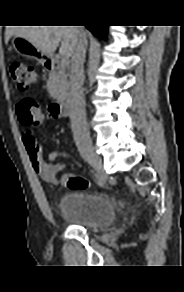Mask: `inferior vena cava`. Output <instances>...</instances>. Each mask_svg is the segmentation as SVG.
<instances>
[{
    "mask_svg": "<svg viewBox=\"0 0 184 292\" xmlns=\"http://www.w3.org/2000/svg\"><path fill=\"white\" fill-rule=\"evenodd\" d=\"M79 37L71 56L70 97L71 125L76 146L80 152L92 151V142L87 127L85 115V98L83 94L84 62L87 49V39L83 26H76Z\"/></svg>",
    "mask_w": 184,
    "mask_h": 292,
    "instance_id": "inferior-vena-cava-1",
    "label": "inferior vena cava"
}]
</instances>
